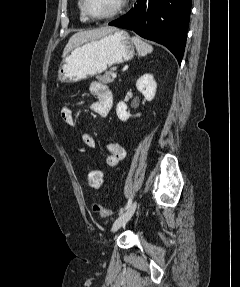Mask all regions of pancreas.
<instances>
[{"label": "pancreas", "mask_w": 240, "mask_h": 287, "mask_svg": "<svg viewBox=\"0 0 240 287\" xmlns=\"http://www.w3.org/2000/svg\"><path fill=\"white\" fill-rule=\"evenodd\" d=\"M115 69H116V68L113 67V68H111L109 71L105 72L104 75L99 76V80L102 81L103 83H112V82L114 81V79H115V78L112 76V74H113V72H114Z\"/></svg>", "instance_id": "cf45deb5"}]
</instances>
